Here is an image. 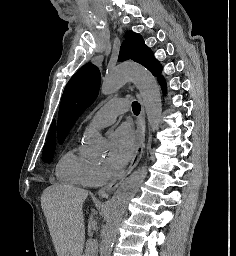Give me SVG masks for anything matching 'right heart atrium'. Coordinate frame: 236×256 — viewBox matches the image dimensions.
<instances>
[{
  "label": "right heart atrium",
  "mask_w": 236,
  "mask_h": 256,
  "mask_svg": "<svg viewBox=\"0 0 236 256\" xmlns=\"http://www.w3.org/2000/svg\"><path fill=\"white\" fill-rule=\"evenodd\" d=\"M109 177L106 168L99 163H91L85 174V186L98 187L105 183Z\"/></svg>",
  "instance_id": "d8ad5b80"
}]
</instances>
